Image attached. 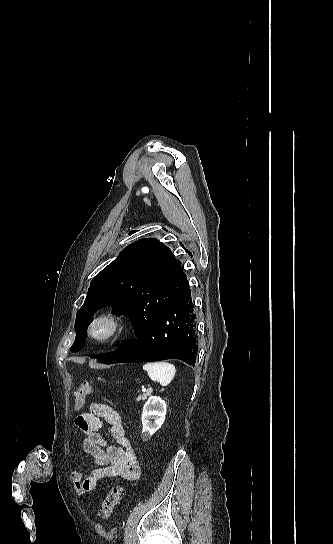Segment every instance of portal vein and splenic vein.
I'll return each mask as SVG.
<instances>
[{
  "instance_id": "obj_1",
  "label": "portal vein and splenic vein",
  "mask_w": 333,
  "mask_h": 544,
  "mask_svg": "<svg viewBox=\"0 0 333 544\" xmlns=\"http://www.w3.org/2000/svg\"><path fill=\"white\" fill-rule=\"evenodd\" d=\"M143 391H146V389H143ZM148 391H152V388L150 387V388L148 389Z\"/></svg>"
}]
</instances>
